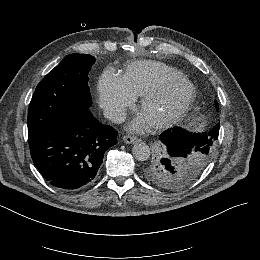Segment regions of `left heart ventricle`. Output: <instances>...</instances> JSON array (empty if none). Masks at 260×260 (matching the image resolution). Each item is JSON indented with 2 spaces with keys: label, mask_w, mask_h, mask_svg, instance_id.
Returning <instances> with one entry per match:
<instances>
[{
  "label": "left heart ventricle",
  "mask_w": 260,
  "mask_h": 260,
  "mask_svg": "<svg viewBox=\"0 0 260 260\" xmlns=\"http://www.w3.org/2000/svg\"><path fill=\"white\" fill-rule=\"evenodd\" d=\"M187 94L188 88L185 84H175L167 89L159 100L153 102L150 107L144 109V112L152 122L163 118L178 108L185 100Z\"/></svg>",
  "instance_id": "obj_1"
}]
</instances>
